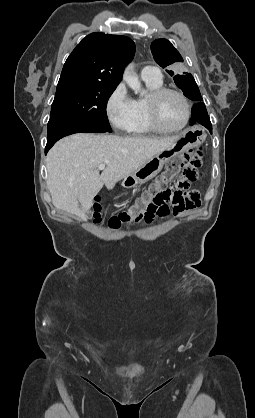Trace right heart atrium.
Instances as JSON below:
<instances>
[{
	"instance_id": "1",
	"label": "right heart atrium",
	"mask_w": 255,
	"mask_h": 418,
	"mask_svg": "<svg viewBox=\"0 0 255 418\" xmlns=\"http://www.w3.org/2000/svg\"><path fill=\"white\" fill-rule=\"evenodd\" d=\"M105 112L111 126L119 131H129L135 113V101L124 84H119L109 95Z\"/></svg>"
}]
</instances>
